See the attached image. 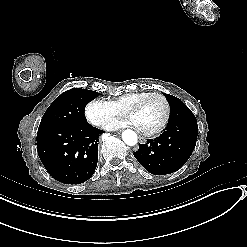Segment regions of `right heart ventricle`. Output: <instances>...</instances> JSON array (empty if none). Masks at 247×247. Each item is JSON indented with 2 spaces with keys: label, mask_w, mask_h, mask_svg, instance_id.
<instances>
[{
  "label": "right heart ventricle",
  "mask_w": 247,
  "mask_h": 247,
  "mask_svg": "<svg viewBox=\"0 0 247 247\" xmlns=\"http://www.w3.org/2000/svg\"><path fill=\"white\" fill-rule=\"evenodd\" d=\"M149 91H139V92H133L126 94L122 97H119L114 102L116 106H132L135 100L142 98L145 94H147Z\"/></svg>",
  "instance_id": "1"
}]
</instances>
